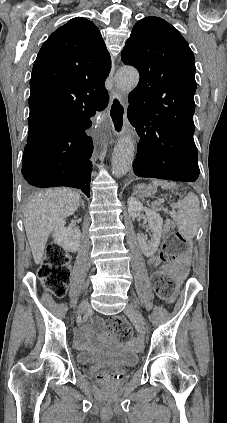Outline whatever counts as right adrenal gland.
I'll list each match as a JSON object with an SVG mask.
<instances>
[{
  "label": "right adrenal gland",
  "mask_w": 227,
  "mask_h": 423,
  "mask_svg": "<svg viewBox=\"0 0 227 423\" xmlns=\"http://www.w3.org/2000/svg\"><path fill=\"white\" fill-rule=\"evenodd\" d=\"M81 204H82V208L84 210V202H83V200H81Z\"/></svg>",
  "instance_id": "2a0ac1e0"
}]
</instances>
